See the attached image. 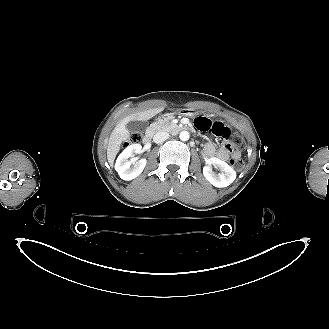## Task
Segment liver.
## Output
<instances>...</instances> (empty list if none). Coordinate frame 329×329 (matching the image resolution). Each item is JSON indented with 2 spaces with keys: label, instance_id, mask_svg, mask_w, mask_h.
<instances>
[{
  "label": "liver",
  "instance_id": "6515ba94",
  "mask_svg": "<svg viewBox=\"0 0 329 329\" xmlns=\"http://www.w3.org/2000/svg\"><path fill=\"white\" fill-rule=\"evenodd\" d=\"M164 107L153 108L145 111L136 112L124 117L113 129L109 137L108 146H107V160L111 166L114 164L115 157L120 149L122 142L127 140L130 136L129 130L126 128V125L129 121L138 120V121H148L156 114L162 112Z\"/></svg>",
  "mask_w": 329,
  "mask_h": 329
}]
</instances>
